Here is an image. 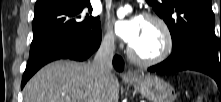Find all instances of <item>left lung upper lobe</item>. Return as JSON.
Masks as SVG:
<instances>
[{"mask_svg": "<svg viewBox=\"0 0 221 102\" xmlns=\"http://www.w3.org/2000/svg\"><path fill=\"white\" fill-rule=\"evenodd\" d=\"M164 19L171 36L172 50L187 42H198L218 54L211 0H147ZM221 53V39H220Z\"/></svg>", "mask_w": 221, "mask_h": 102, "instance_id": "5c2ea615", "label": "left lung upper lobe"}]
</instances>
